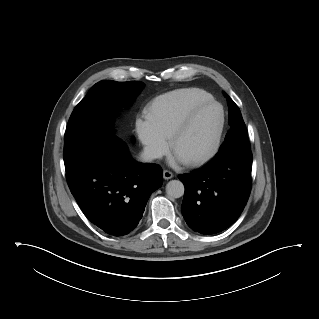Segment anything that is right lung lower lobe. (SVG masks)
Instances as JSON below:
<instances>
[{
  "label": "right lung lower lobe",
  "mask_w": 319,
  "mask_h": 319,
  "mask_svg": "<svg viewBox=\"0 0 319 319\" xmlns=\"http://www.w3.org/2000/svg\"><path fill=\"white\" fill-rule=\"evenodd\" d=\"M66 177L85 216L112 236L138 225L147 199L163 182L159 165L135 162L116 136L93 141Z\"/></svg>",
  "instance_id": "1"
}]
</instances>
